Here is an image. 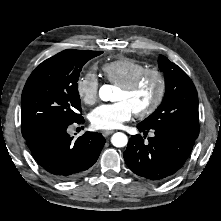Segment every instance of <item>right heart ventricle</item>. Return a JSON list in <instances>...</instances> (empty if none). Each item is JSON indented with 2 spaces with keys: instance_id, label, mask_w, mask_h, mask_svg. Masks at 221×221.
<instances>
[{
  "instance_id": "1",
  "label": "right heart ventricle",
  "mask_w": 221,
  "mask_h": 221,
  "mask_svg": "<svg viewBox=\"0 0 221 221\" xmlns=\"http://www.w3.org/2000/svg\"><path fill=\"white\" fill-rule=\"evenodd\" d=\"M144 68H146V65L139 61L132 58H121L104 64L102 71L110 83L119 86Z\"/></svg>"
}]
</instances>
